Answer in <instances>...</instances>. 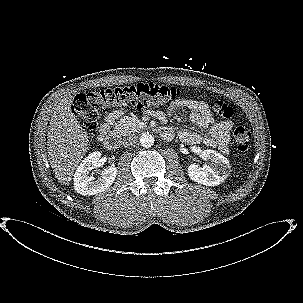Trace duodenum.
<instances>
[{"label": "duodenum", "mask_w": 303, "mask_h": 303, "mask_svg": "<svg viewBox=\"0 0 303 303\" xmlns=\"http://www.w3.org/2000/svg\"><path fill=\"white\" fill-rule=\"evenodd\" d=\"M164 137L167 138L165 134ZM103 143L109 150H116L120 147V138L115 133H108L103 138Z\"/></svg>", "instance_id": "410a0bca"}]
</instances>
